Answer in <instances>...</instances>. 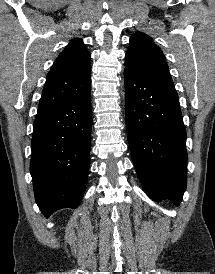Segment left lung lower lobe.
<instances>
[{
    "label": "left lung lower lobe",
    "mask_w": 215,
    "mask_h": 274,
    "mask_svg": "<svg viewBox=\"0 0 215 274\" xmlns=\"http://www.w3.org/2000/svg\"><path fill=\"white\" fill-rule=\"evenodd\" d=\"M125 121L140 182L153 201L179 205L186 189V131L174 86L124 70Z\"/></svg>",
    "instance_id": "left-lung-lower-lobe-1"
}]
</instances>
